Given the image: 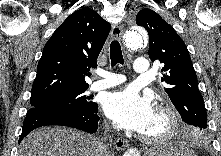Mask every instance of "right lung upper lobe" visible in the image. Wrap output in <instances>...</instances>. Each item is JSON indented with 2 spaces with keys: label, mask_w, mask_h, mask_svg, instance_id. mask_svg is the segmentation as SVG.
<instances>
[{
  "label": "right lung upper lobe",
  "mask_w": 221,
  "mask_h": 156,
  "mask_svg": "<svg viewBox=\"0 0 221 156\" xmlns=\"http://www.w3.org/2000/svg\"><path fill=\"white\" fill-rule=\"evenodd\" d=\"M110 27V23L90 8L72 13L44 46L31 99L87 89L85 75L97 66Z\"/></svg>",
  "instance_id": "obj_1"
}]
</instances>
